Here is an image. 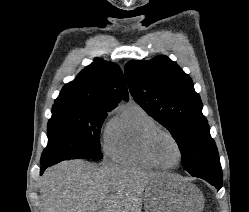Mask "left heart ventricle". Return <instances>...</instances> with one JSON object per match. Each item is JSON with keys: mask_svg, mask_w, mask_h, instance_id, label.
<instances>
[{"mask_svg": "<svg viewBox=\"0 0 249 212\" xmlns=\"http://www.w3.org/2000/svg\"><path fill=\"white\" fill-rule=\"evenodd\" d=\"M157 158L164 164H175L178 161V151L173 141L166 137H159L154 144Z\"/></svg>", "mask_w": 249, "mask_h": 212, "instance_id": "obj_1", "label": "left heart ventricle"}]
</instances>
